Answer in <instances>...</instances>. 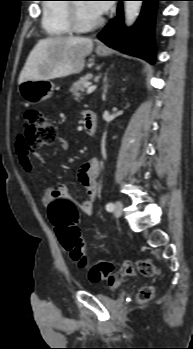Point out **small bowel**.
Masks as SVG:
<instances>
[{
	"label": "small bowel",
	"instance_id": "1",
	"mask_svg": "<svg viewBox=\"0 0 193 349\" xmlns=\"http://www.w3.org/2000/svg\"><path fill=\"white\" fill-rule=\"evenodd\" d=\"M59 146L62 150H68L69 144L65 139L59 138ZM16 152L22 168L26 172L33 171V164L30 153L27 151V147L22 135H20L16 142ZM100 172V163L97 158H91L86 161L79 172V181L83 187L84 200L79 204L82 212L91 216L93 214L94 201L97 194L98 184L97 178ZM56 199H68L73 200L72 193L69 187L65 184H59L56 189H49L46 191L43 197V204L48 206L52 201ZM136 273L133 263L130 260L123 262L122 266L108 279L111 286L119 285L126 277L134 276Z\"/></svg>",
	"mask_w": 193,
	"mask_h": 349
}]
</instances>
